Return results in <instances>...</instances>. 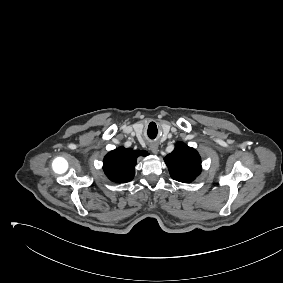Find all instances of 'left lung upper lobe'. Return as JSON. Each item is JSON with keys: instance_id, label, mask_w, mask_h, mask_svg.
<instances>
[{"instance_id": "5c2ea615", "label": "left lung upper lobe", "mask_w": 283, "mask_h": 283, "mask_svg": "<svg viewBox=\"0 0 283 283\" xmlns=\"http://www.w3.org/2000/svg\"><path fill=\"white\" fill-rule=\"evenodd\" d=\"M164 161L172 179L183 183L195 180L202 170L198 152L182 142L175 145V149L164 158Z\"/></svg>"}]
</instances>
